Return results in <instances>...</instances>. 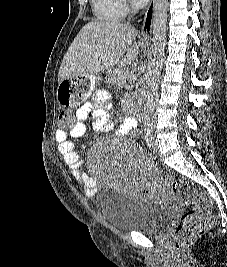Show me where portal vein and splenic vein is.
Returning a JSON list of instances; mask_svg holds the SVG:
<instances>
[{"label": "portal vein and splenic vein", "instance_id": "1", "mask_svg": "<svg viewBox=\"0 0 227 267\" xmlns=\"http://www.w3.org/2000/svg\"><path fill=\"white\" fill-rule=\"evenodd\" d=\"M134 79H135V75L132 76V80H134Z\"/></svg>", "mask_w": 227, "mask_h": 267}]
</instances>
